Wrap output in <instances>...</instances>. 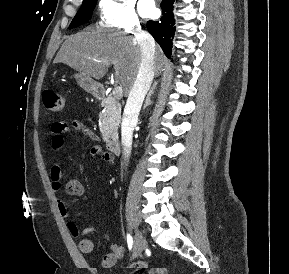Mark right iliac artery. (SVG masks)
<instances>
[{"instance_id":"right-iliac-artery-1","label":"right iliac artery","mask_w":289,"mask_h":274,"mask_svg":"<svg viewBox=\"0 0 289 274\" xmlns=\"http://www.w3.org/2000/svg\"><path fill=\"white\" fill-rule=\"evenodd\" d=\"M127 243H128L129 250H131L133 246V239L130 234L127 235Z\"/></svg>"}]
</instances>
